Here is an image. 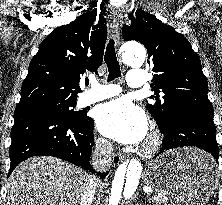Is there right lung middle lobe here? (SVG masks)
<instances>
[{
    "mask_svg": "<svg viewBox=\"0 0 222 205\" xmlns=\"http://www.w3.org/2000/svg\"><path fill=\"white\" fill-rule=\"evenodd\" d=\"M76 101L63 102V101H48L40 104L35 108H43L53 111L55 113L65 116L72 122L85 123L89 120L87 114L83 111H75Z\"/></svg>",
    "mask_w": 222,
    "mask_h": 205,
    "instance_id": "right-lung-middle-lobe-1",
    "label": "right lung middle lobe"
}]
</instances>
